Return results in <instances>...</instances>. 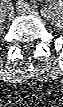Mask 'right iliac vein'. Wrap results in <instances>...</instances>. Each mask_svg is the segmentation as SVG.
Segmentation results:
<instances>
[{"instance_id":"right-iliac-vein-1","label":"right iliac vein","mask_w":63,"mask_h":107,"mask_svg":"<svg viewBox=\"0 0 63 107\" xmlns=\"http://www.w3.org/2000/svg\"><path fill=\"white\" fill-rule=\"evenodd\" d=\"M7 14H8L9 18H13L15 16V12H14L13 8L10 7L7 10Z\"/></svg>"}]
</instances>
